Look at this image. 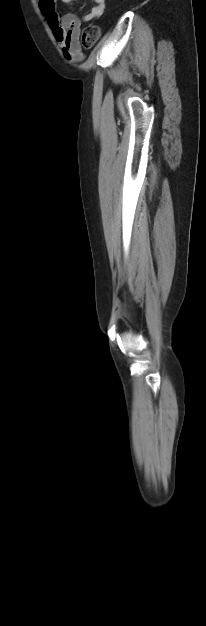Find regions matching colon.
Here are the masks:
<instances>
[{
  "instance_id": "5ec220e1",
  "label": "colon",
  "mask_w": 206,
  "mask_h": 626,
  "mask_svg": "<svg viewBox=\"0 0 206 626\" xmlns=\"http://www.w3.org/2000/svg\"><path fill=\"white\" fill-rule=\"evenodd\" d=\"M100 37V29L98 26H88L82 34V44L85 48H91Z\"/></svg>"
}]
</instances>
